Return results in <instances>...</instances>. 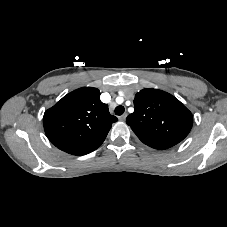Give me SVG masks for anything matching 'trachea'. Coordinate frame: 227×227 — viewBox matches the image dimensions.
<instances>
[{
  "label": "trachea",
  "instance_id": "3493384b",
  "mask_svg": "<svg viewBox=\"0 0 227 227\" xmlns=\"http://www.w3.org/2000/svg\"><path fill=\"white\" fill-rule=\"evenodd\" d=\"M124 111H125V108L123 106H121V105L117 106L115 108V114L116 115H122L124 113Z\"/></svg>",
  "mask_w": 227,
  "mask_h": 227
}]
</instances>
